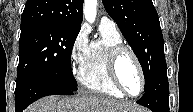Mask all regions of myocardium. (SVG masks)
Returning <instances> with one entry per match:
<instances>
[{"label": "myocardium", "instance_id": "1", "mask_svg": "<svg viewBox=\"0 0 193 112\" xmlns=\"http://www.w3.org/2000/svg\"><path fill=\"white\" fill-rule=\"evenodd\" d=\"M125 54H129L133 58L136 66H137L139 76H140L141 88H140L139 93L136 95L130 94L126 90V88L124 87V85L119 77L118 64H119L121 57ZM107 70H108L109 78H110L111 82L113 83V85L121 93H123L125 96L135 98V97L142 95V93L144 92L146 81H145V74L143 71V67L141 65V62H140L137 54L129 46H127L125 44H118L116 46H113L109 50L108 57H107Z\"/></svg>", "mask_w": 193, "mask_h": 112}]
</instances>
